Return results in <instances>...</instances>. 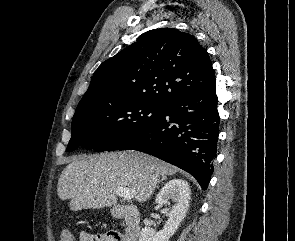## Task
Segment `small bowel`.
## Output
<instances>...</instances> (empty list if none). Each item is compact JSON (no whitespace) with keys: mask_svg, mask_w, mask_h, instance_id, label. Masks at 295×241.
Returning <instances> with one entry per match:
<instances>
[{"mask_svg":"<svg viewBox=\"0 0 295 241\" xmlns=\"http://www.w3.org/2000/svg\"><path fill=\"white\" fill-rule=\"evenodd\" d=\"M80 241H125V240L117 232H108L106 234H95L88 231H84L80 234Z\"/></svg>","mask_w":295,"mask_h":241,"instance_id":"small-bowel-1","label":"small bowel"}]
</instances>
